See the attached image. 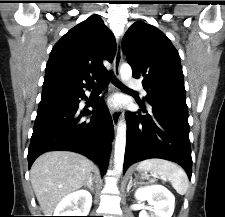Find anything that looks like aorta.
I'll use <instances>...</instances> for the list:
<instances>
[{
    "instance_id": "762f6f07",
    "label": "aorta",
    "mask_w": 225,
    "mask_h": 217,
    "mask_svg": "<svg viewBox=\"0 0 225 217\" xmlns=\"http://www.w3.org/2000/svg\"><path fill=\"white\" fill-rule=\"evenodd\" d=\"M120 76L123 82L130 80L132 76V69L129 64L124 63L120 67ZM126 122L124 117L120 118L117 126V134L115 140L114 152V171L116 175H120L123 169L125 147H126Z\"/></svg>"
}]
</instances>
